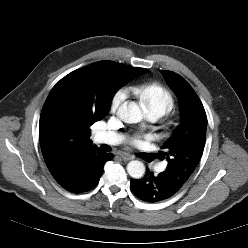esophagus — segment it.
Returning a JSON list of instances; mask_svg holds the SVG:
<instances>
[{
	"label": "esophagus",
	"instance_id": "esophagus-1",
	"mask_svg": "<svg viewBox=\"0 0 248 248\" xmlns=\"http://www.w3.org/2000/svg\"><path fill=\"white\" fill-rule=\"evenodd\" d=\"M117 155L124 161H129L133 159V156L125 152H119Z\"/></svg>",
	"mask_w": 248,
	"mask_h": 248
}]
</instances>
